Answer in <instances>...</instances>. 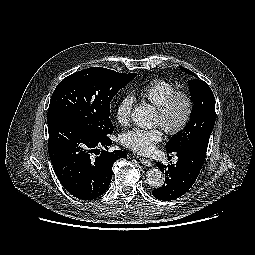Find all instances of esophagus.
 <instances>
[{
    "label": "esophagus",
    "mask_w": 255,
    "mask_h": 255,
    "mask_svg": "<svg viewBox=\"0 0 255 255\" xmlns=\"http://www.w3.org/2000/svg\"><path fill=\"white\" fill-rule=\"evenodd\" d=\"M139 161L141 162V164L147 166V167H151L152 166V162L149 159H145V158H140Z\"/></svg>",
    "instance_id": "obj_1"
}]
</instances>
